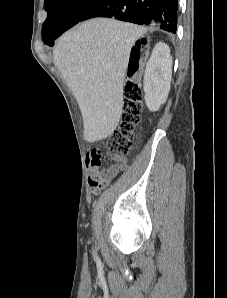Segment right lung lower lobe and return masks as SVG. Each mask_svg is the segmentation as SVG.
Here are the masks:
<instances>
[{"instance_id":"98d812e1","label":"right lung lower lobe","mask_w":227,"mask_h":298,"mask_svg":"<svg viewBox=\"0 0 227 298\" xmlns=\"http://www.w3.org/2000/svg\"><path fill=\"white\" fill-rule=\"evenodd\" d=\"M178 0H100L81 21L93 17H115L118 20L140 25H157L175 33L177 27ZM64 31H55L46 42L53 40Z\"/></svg>"}]
</instances>
